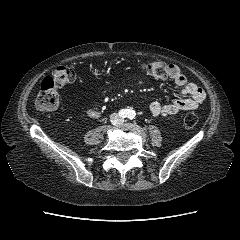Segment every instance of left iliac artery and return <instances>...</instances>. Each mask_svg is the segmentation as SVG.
I'll list each match as a JSON object with an SVG mask.
<instances>
[{
  "instance_id": "1",
  "label": "left iliac artery",
  "mask_w": 240,
  "mask_h": 240,
  "mask_svg": "<svg viewBox=\"0 0 240 240\" xmlns=\"http://www.w3.org/2000/svg\"><path fill=\"white\" fill-rule=\"evenodd\" d=\"M134 117H135V112L132 111V110L129 111V112H128V118H129V119H133Z\"/></svg>"
}]
</instances>
